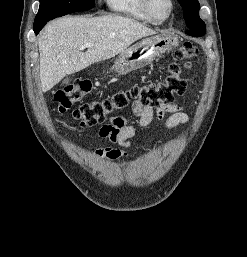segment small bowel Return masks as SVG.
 I'll return each instance as SVG.
<instances>
[{"mask_svg":"<svg viewBox=\"0 0 247 257\" xmlns=\"http://www.w3.org/2000/svg\"><path fill=\"white\" fill-rule=\"evenodd\" d=\"M133 113L138 117V127L148 126L157 116L159 120H164L165 127L172 129L187 122V115L175 104L164 103L157 107L154 112L152 107H145L138 102L132 104ZM137 128L127 125L122 117H113L109 124L103 125L99 130L101 138L108 139L111 143L128 148L131 146V138L136 134ZM95 156L105 161H113L126 156V153L114 147L100 148L95 151Z\"/></svg>","mask_w":247,"mask_h":257,"instance_id":"1","label":"small bowel"}]
</instances>
